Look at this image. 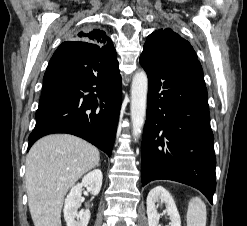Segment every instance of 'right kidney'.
<instances>
[{
	"mask_svg": "<svg viewBox=\"0 0 247 226\" xmlns=\"http://www.w3.org/2000/svg\"><path fill=\"white\" fill-rule=\"evenodd\" d=\"M103 175L101 170L95 169L82 178L81 183L72 187L64 203V219L67 226H87L90 220V211H80L82 201V187L85 186L93 194L97 195L102 186Z\"/></svg>",
	"mask_w": 247,
	"mask_h": 226,
	"instance_id": "1",
	"label": "right kidney"
}]
</instances>
